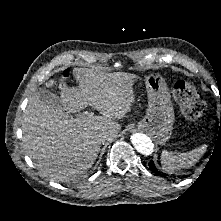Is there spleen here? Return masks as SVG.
Returning <instances> with one entry per match:
<instances>
[{"label":"spleen","instance_id":"spleen-1","mask_svg":"<svg viewBox=\"0 0 221 221\" xmlns=\"http://www.w3.org/2000/svg\"><path fill=\"white\" fill-rule=\"evenodd\" d=\"M207 145H202L199 148L193 149L189 152H168L164 150L161 153L162 168L166 172H174L181 168H190L206 152Z\"/></svg>","mask_w":221,"mask_h":221}]
</instances>
